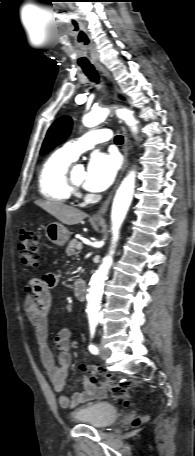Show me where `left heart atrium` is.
Here are the masks:
<instances>
[{
	"label": "left heart atrium",
	"mask_w": 195,
	"mask_h": 456,
	"mask_svg": "<svg viewBox=\"0 0 195 456\" xmlns=\"http://www.w3.org/2000/svg\"><path fill=\"white\" fill-rule=\"evenodd\" d=\"M119 167L120 162L115 155L94 154L85 172L84 187L92 192L107 189L114 181Z\"/></svg>",
	"instance_id": "obj_1"
}]
</instances>
